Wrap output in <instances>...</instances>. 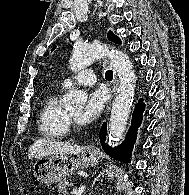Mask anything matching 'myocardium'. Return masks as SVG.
I'll use <instances>...</instances> for the list:
<instances>
[{
  "mask_svg": "<svg viewBox=\"0 0 189 195\" xmlns=\"http://www.w3.org/2000/svg\"><path fill=\"white\" fill-rule=\"evenodd\" d=\"M68 119H69V127H72L74 130H79V124L77 123V119L72 116L69 112H67Z\"/></svg>",
  "mask_w": 189,
  "mask_h": 195,
  "instance_id": "f54148a6",
  "label": "myocardium"
}]
</instances>
